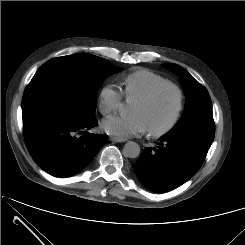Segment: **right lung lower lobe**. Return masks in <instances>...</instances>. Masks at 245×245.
<instances>
[{"instance_id":"right-lung-lower-lobe-1","label":"right lung lower lobe","mask_w":245,"mask_h":245,"mask_svg":"<svg viewBox=\"0 0 245 245\" xmlns=\"http://www.w3.org/2000/svg\"><path fill=\"white\" fill-rule=\"evenodd\" d=\"M95 117L87 122L56 121L24 130L25 142L33 160L47 173L68 177L82 170L107 143V135L91 134ZM82 134L76 137L75 133Z\"/></svg>"}]
</instances>
